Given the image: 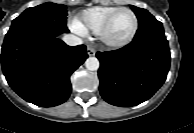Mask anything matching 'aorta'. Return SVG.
<instances>
[{
	"label": "aorta",
	"mask_w": 194,
	"mask_h": 133,
	"mask_svg": "<svg viewBox=\"0 0 194 133\" xmlns=\"http://www.w3.org/2000/svg\"><path fill=\"white\" fill-rule=\"evenodd\" d=\"M100 63L96 57H89L85 61V67L90 71H96L99 69Z\"/></svg>",
	"instance_id": "762f6f07"
}]
</instances>
